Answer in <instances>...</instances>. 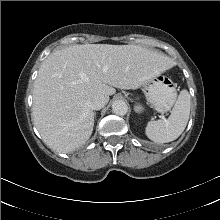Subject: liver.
<instances>
[{"label":"liver","mask_w":220,"mask_h":220,"mask_svg":"<svg viewBox=\"0 0 220 220\" xmlns=\"http://www.w3.org/2000/svg\"><path fill=\"white\" fill-rule=\"evenodd\" d=\"M164 54L138 45L83 44L51 53L41 64L33 89V119L43 141L59 152L83 145L94 127L87 101L137 89L174 66Z\"/></svg>","instance_id":"obj_1"}]
</instances>
